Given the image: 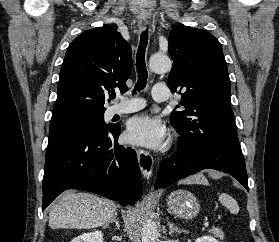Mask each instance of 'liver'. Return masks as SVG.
Listing matches in <instances>:
<instances>
[{
	"instance_id": "1",
	"label": "liver",
	"mask_w": 279,
	"mask_h": 242,
	"mask_svg": "<svg viewBox=\"0 0 279 242\" xmlns=\"http://www.w3.org/2000/svg\"><path fill=\"white\" fill-rule=\"evenodd\" d=\"M186 184L207 185L202 174L189 177ZM114 201L100 198L90 193L66 191L58 197L49 213V226L52 229H90L105 225L116 213Z\"/></svg>"
}]
</instances>
